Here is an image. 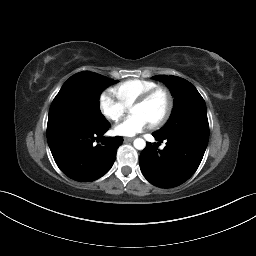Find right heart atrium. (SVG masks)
I'll list each match as a JSON object with an SVG mask.
<instances>
[{
	"label": "right heart atrium",
	"mask_w": 256,
	"mask_h": 256,
	"mask_svg": "<svg viewBox=\"0 0 256 256\" xmlns=\"http://www.w3.org/2000/svg\"><path fill=\"white\" fill-rule=\"evenodd\" d=\"M99 109L110 121H119L126 113V108L109 93L103 92L99 97Z\"/></svg>",
	"instance_id": "1"
}]
</instances>
